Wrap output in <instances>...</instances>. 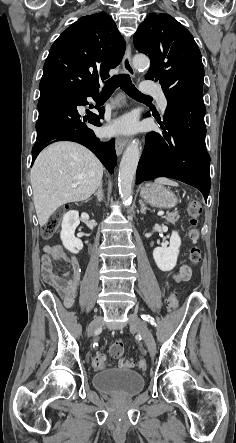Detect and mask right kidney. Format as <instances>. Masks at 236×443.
Here are the masks:
<instances>
[{"label": "right kidney", "mask_w": 236, "mask_h": 443, "mask_svg": "<svg viewBox=\"0 0 236 443\" xmlns=\"http://www.w3.org/2000/svg\"><path fill=\"white\" fill-rule=\"evenodd\" d=\"M79 224L78 211L71 210L64 215L60 237L64 247L74 254L79 253L83 248L82 241L75 237V230Z\"/></svg>", "instance_id": "ca27d5eb"}]
</instances>
